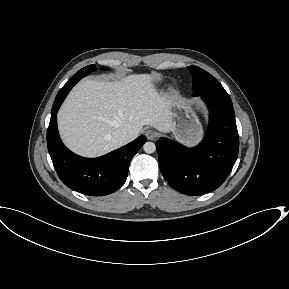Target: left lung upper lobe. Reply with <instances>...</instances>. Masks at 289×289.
<instances>
[{"mask_svg":"<svg viewBox=\"0 0 289 289\" xmlns=\"http://www.w3.org/2000/svg\"><path fill=\"white\" fill-rule=\"evenodd\" d=\"M187 69L193 76V95H211L222 98H230L218 80L207 71L197 67L189 66Z\"/></svg>","mask_w":289,"mask_h":289,"instance_id":"5c2ea615","label":"left lung upper lobe"}]
</instances>
